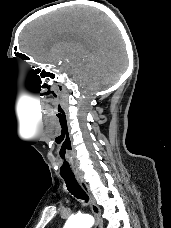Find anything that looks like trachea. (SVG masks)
<instances>
[{
  "label": "trachea",
  "mask_w": 171,
  "mask_h": 228,
  "mask_svg": "<svg viewBox=\"0 0 171 228\" xmlns=\"http://www.w3.org/2000/svg\"><path fill=\"white\" fill-rule=\"evenodd\" d=\"M62 177L65 180L67 189L74 197H76L77 199H82L85 202H88V196L81 188V186L78 184L75 176H62Z\"/></svg>",
  "instance_id": "1"
}]
</instances>
